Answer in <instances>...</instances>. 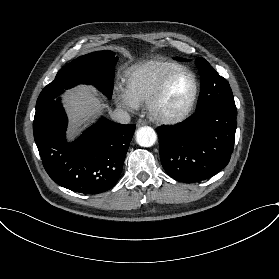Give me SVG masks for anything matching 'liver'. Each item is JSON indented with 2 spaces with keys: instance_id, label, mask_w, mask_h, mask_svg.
Listing matches in <instances>:
<instances>
[{
  "instance_id": "liver-1",
  "label": "liver",
  "mask_w": 279,
  "mask_h": 279,
  "mask_svg": "<svg viewBox=\"0 0 279 279\" xmlns=\"http://www.w3.org/2000/svg\"><path fill=\"white\" fill-rule=\"evenodd\" d=\"M64 107L69 118L67 139L73 140L76 135L108 106L102 103L97 90L93 86L79 85L67 90L63 95Z\"/></svg>"
}]
</instances>
